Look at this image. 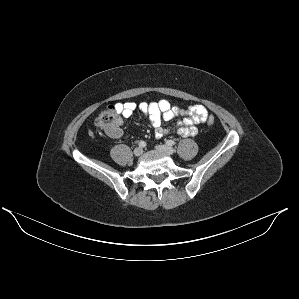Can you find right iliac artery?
I'll use <instances>...</instances> for the list:
<instances>
[{
	"instance_id": "right-iliac-artery-1",
	"label": "right iliac artery",
	"mask_w": 299,
	"mask_h": 299,
	"mask_svg": "<svg viewBox=\"0 0 299 299\" xmlns=\"http://www.w3.org/2000/svg\"><path fill=\"white\" fill-rule=\"evenodd\" d=\"M138 145H139V147H145L146 146V142L140 141Z\"/></svg>"
}]
</instances>
